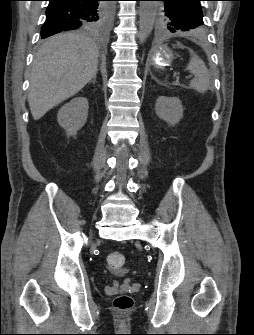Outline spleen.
<instances>
[{
    "instance_id": "spleen-1",
    "label": "spleen",
    "mask_w": 254,
    "mask_h": 335,
    "mask_svg": "<svg viewBox=\"0 0 254 335\" xmlns=\"http://www.w3.org/2000/svg\"><path fill=\"white\" fill-rule=\"evenodd\" d=\"M190 73L194 75V79L190 81V87L200 93H204L211 86L210 74L204 61L197 55L192 54L190 61L186 67Z\"/></svg>"
}]
</instances>
